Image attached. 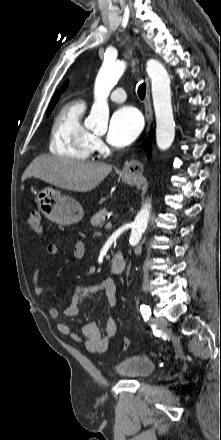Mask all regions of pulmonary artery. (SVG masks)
I'll use <instances>...</instances> for the list:
<instances>
[{"label": "pulmonary artery", "mask_w": 221, "mask_h": 440, "mask_svg": "<svg viewBox=\"0 0 221 440\" xmlns=\"http://www.w3.org/2000/svg\"><path fill=\"white\" fill-rule=\"evenodd\" d=\"M127 98L126 92L123 88H116L110 94V100L113 102L121 103L124 102Z\"/></svg>", "instance_id": "pulmonary-artery-1"}]
</instances>
